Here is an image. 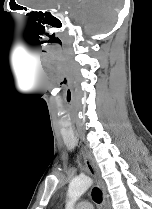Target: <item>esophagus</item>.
I'll list each match as a JSON object with an SVG mask.
<instances>
[{
	"instance_id": "34e87169",
	"label": "esophagus",
	"mask_w": 152,
	"mask_h": 209,
	"mask_svg": "<svg viewBox=\"0 0 152 209\" xmlns=\"http://www.w3.org/2000/svg\"><path fill=\"white\" fill-rule=\"evenodd\" d=\"M81 152H82V155H83V158L85 161V166H86L88 173L93 177V179L95 180V182L97 183V185L99 186V188L102 191L103 209H110L109 200H108V196L106 193L104 181L101 178L100 171L98 170L91 153L84 146H82Z\"/></svg>"
}]
</instances>
